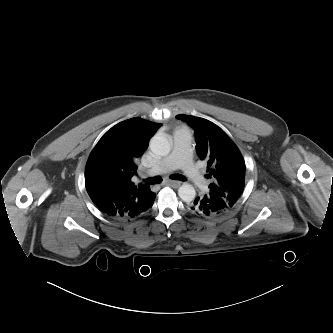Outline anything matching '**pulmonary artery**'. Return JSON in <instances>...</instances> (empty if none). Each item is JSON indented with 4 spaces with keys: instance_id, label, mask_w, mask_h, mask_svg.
<instances>
[{
    "instance_id": "pulmonary-artery-1",
    "label": "pulmonary artery",
    "mask_w": 333,
    "mask_h": 333,
    "mask_svg": "<svg viewBox=\"0 0 333 333\" xmlns=\"http://www.w3.org/2000/svg\"><path fill=\"white\" fill-rule=\"evenodd\" d=\"M172 152L154 165L149 173L158 175L181 168L186 176L199 188L206 185V180L192 161L191 133L186 128H180L173 133Z\"/></svg>"
}]
</instances>
